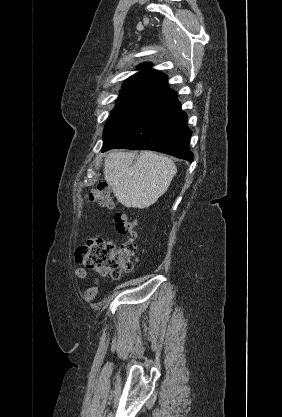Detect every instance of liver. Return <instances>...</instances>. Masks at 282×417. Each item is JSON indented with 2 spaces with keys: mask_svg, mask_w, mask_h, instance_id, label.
<instances>
[{
  "mask_svg": "<svg viewBox=\"0 0 282 417\" xmlns=\"http://www.w3.org/2000/svg\"><path fill=\"white\" fill-rule=\"evenodd\" d=\"M134 158L133 150L109 152L104 160V178L118 202L128 209H145L166 192L177 168L171 158L152 150H142L135 162Z\"/></svg>",
  "mask_w": 282,
  "mask_h": 417,
  "instance_id": "obj_1",
  "label": "liver"
}]
</instances>
